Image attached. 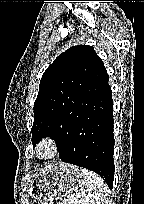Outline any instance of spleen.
Masks as SVG:
<instances>
[{
    "label": "spleen",
    "mask_w": 144,
    "mask_h": 204,
    "mask_svg": "<svg viewBox=\"0 0 144 204\" xmlns=\"http://www.w3.org/2000/svg\"><path fill=\"white\" fill-rule=\"evenodd\" d=\"M79 178V190H76L75 194L65 196L63 201L57 204H109L108 187L100 176L83 169Z\"/></svg>",
    "instance_id": "obj_1"
}]
</instances>
